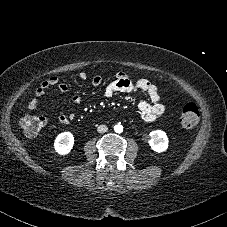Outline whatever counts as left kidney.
I'll use <instances>...</instances> for the list:
<instances>
[{
    "label": "left kidney",
    "mask_w": 227,
    "mask_h": 227,
    "mask_svg": "<svg viewBox=\"0 0 227 227\" xmlns=\"http://www.w3.org/2000/svg\"><path fill=\"white\" fill-rule=\"evenodd\" d=\"M149 145L155 152H164L168 148V137L163 130H154L149 133Z\"/></svg>",
    "instance_id": "left-kidney-1"
}]
</instances>
